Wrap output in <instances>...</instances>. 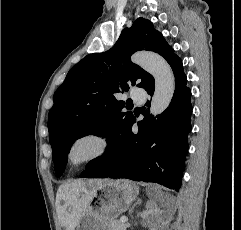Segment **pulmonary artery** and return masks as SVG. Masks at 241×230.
I'll return each instance as SVG.
<instances>
[{"label": "pulmonary artery", "instance_id": "e3ab8cb5", "mask_svg": "<svg viewBox=\"0 0 241 230\" xmlns=\"http://www.w3.org/2000/svg\"><path fill=\"white\" fill-rule=\"evenodd\" d=\"M145 97L146 93L142 89H136L131 92V99L136 103L143 102Z\"/></svg>", "mask_w": 241, "mask_h": 230}]
</instances>
